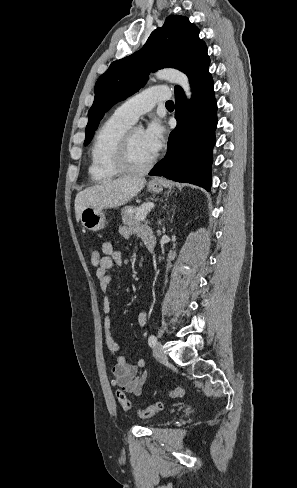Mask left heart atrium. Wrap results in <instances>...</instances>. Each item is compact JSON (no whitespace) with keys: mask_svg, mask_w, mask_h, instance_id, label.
I'll list each match as a JSON object with an SVG mask.
<instances>
[{"mask_svg":"<svg viewBox=\"0 0 297 488\" xmlns=\"http://www.w3.org/2000/svg\"><path fill=\"white\" fill-rule=\"evenodd\" d=\"M164 140V127L160 122L152 121L143 132V141L153 156H156L161 150Z\"/></svg>","mask_w":297,"mask_h":488,"instance_id":"39dd6f15","label":"left heart atrium"}]
</instances>
